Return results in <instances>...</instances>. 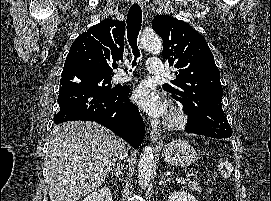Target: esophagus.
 I'll return each mask as SVG.
<instances>
[{
    "mask_svg": "<svg viewBox=\"0 0 271 201\" xmlns=\"http://www.w3.org/2000/svg\"><path fill=\"white\" fill-rule=\"evenodd\" d=\"M133 2H136L138 4H143V0H132ZM150 140L152 143L160 145L162 144V136L160 134V132H158L157 130H152L150 132Z\"/></svg>",
    "mask_w": 271,
    "mask_h": 201,
    "instance_id": "34e87169",
    "label": "esophagus"
}]
</instances>
